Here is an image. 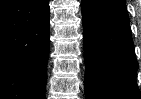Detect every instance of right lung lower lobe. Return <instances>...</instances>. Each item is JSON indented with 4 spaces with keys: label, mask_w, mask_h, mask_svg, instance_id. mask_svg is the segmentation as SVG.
Listing matches in <instances>:
<instances>
[{
    "label": "right lung lower lobe",
    "mask_w": 141,
    "mask_h": 99,
    "mask_svg": "<svg viewBox=\"0 0 141 99\" xmlns=\"http://www.w3.org/2000/svg\"><path fill=\"white\" fill-rule=\"evenodd\" d=\"M49 1L0 4V99H44Z\"/></svg>",
    "instance_id": "98d812e1"
}]
</instances>
